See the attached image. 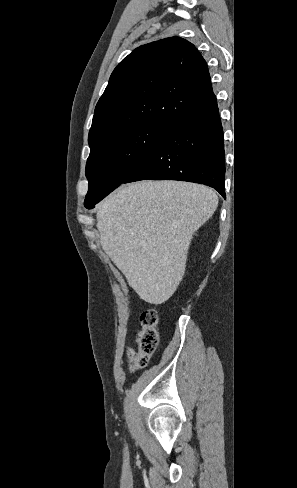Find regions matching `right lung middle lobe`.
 Returning a JSON list of instances; mask_svg holds the SVG:
<instances>
[{
  "label": "right lung middle lobe",
  "mask_w": 297,
  "mask_h": 488,
  "mask_svg": "<svg viewBox=\"0 0 297 488\" xmlns=\"http://www.w3.org/2000/svg\"><path fill=\"white\" fill-rule=\"evenodd\" d=\"M165 124H139L123 128L90 146L86 164L89 190L87 209L117 188L134 171L169 129Z\"/></svg>",
  "instance_id": "1"
}]
</instances>
